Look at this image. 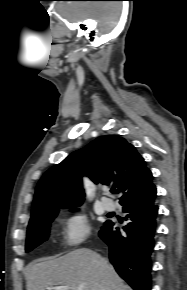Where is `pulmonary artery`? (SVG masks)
<instances>
[{"mask_svg": "<svg viewBox=\"0 0 187 290\" xmlns=\"http://www.w3.org/2000/svg\"><path fill=\"white\" fill-rule=\"evenodd\" d=\"M101 204L106 211H113L115 210V204L111 199L103 198L101 200Z\"/></svg>", "mask_w": 187, "mask_h": 290, "instance_id": "1", "label": "pulmonary artery"}]
</instances>
